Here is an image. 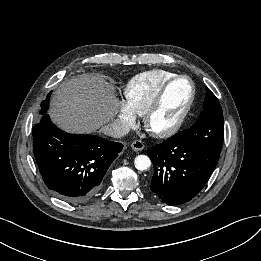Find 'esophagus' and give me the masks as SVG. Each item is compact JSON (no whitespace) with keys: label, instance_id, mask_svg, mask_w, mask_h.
Masks as SVG:
<instances>
[{"label":"esophagus","instance_id":"esophagus-1","mask_svg":"<svg viewBox=\"0 0 261 261\" xmlns=\"http://www.w3.org/2000/svg\"><path fill=\"white\" fill-rule=\"evenodd\" d=\"M131 148L134 150V151H141L144 149V144L142 141L140 140H135L131 143Z\"/></svg>","mask_w":261,"mask_h":261}]
</instances>
